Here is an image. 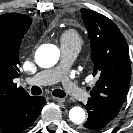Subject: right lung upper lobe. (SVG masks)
<instances>
[{
    "mask_svg": "<svg viewBox=\"0 0 133 133\" xmlns=\"http://www.w3.org/2000/svg\"><path fill=\"white\" fill-rule=\"evenodd\" d=\"M31 22L32 19L24 14L0 15V120L18 101L30 96L13 80L19 77L18 51Z\"/></svg>",
    "mask_w": 133,
    "mask_h": 133,
    "instance_id": "1",
    "label": "right lung upper lobe"
}]
</instances>
